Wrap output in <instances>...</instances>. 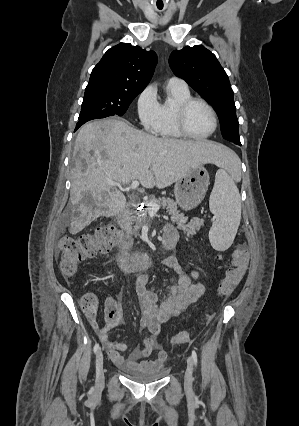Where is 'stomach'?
Wrapping results in <instances>:
<instances>
[{"label": "stomach", "instance_id": "obj_1", "mask_svg": "<svg viewBox=\"0 0 299 426\" xmlns=\"http://www.w3.org/2000/svg\"><path fill=\"white\" fill-rule=\"evenodd\" d=\"M209 186V174L204 166L191 169L174 186L176 203L183 210L197 207L204 199Z\"/></svg>", "mask_w": 299, "mask_h": 426}]
</instances>
